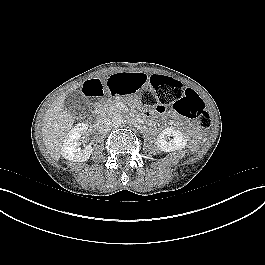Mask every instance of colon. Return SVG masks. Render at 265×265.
<instances>
[{"label": "colon", "instance_id": "5ec220e1", "mask_svg": "<svg viewBox=\"0 0 265 265\" xmlns=\"http://www.w3.org/2000/svg\"><path fill=\"white\" fill-rule=\"evenodd\" d=\"M148 83L152 89L144 88L139 94L143 105L155 110L171 106L178 114L194 119L203 128L211 126V116L193 89L158 73L152 74Z\"/></svg>", "mask_w": 265, "mask_h": 265}]
</instances>
